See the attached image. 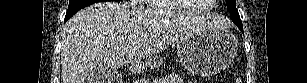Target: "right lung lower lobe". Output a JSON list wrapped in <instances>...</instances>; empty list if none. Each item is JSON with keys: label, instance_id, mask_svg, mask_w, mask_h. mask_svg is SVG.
Segmentation results:
<instances>
[{"label": "right lung lower lobe", "instance_id": "obj_1", "mask_svg": "<svg viewBox=\"0 0 307 83\" xmlns=\"http://www.w3.org/2000/svg\"><path fill=\"white\" fill-rule=\"evenodd\" d=\"M70 17H65V20H64V22H66L68 19H69Z\"/></svg>", "mask_w": 307, "mask_h": 83}]
</instances>
